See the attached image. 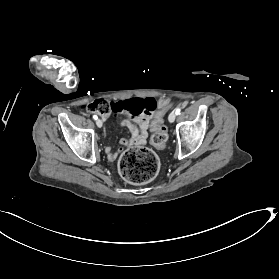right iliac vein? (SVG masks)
Segmentation results:
<instances>
[{
	"instance_id": "63e3f726",
	"label": "right iliac vein",
	"mask_w": 279,
	"mask_h": 279,
	"mask_svg": "<svg viewBox=\"0 0 279 279\" xmlns=\"http://www.w3.org/2000/svg\"><path fill=\"white\" fill-rule=\"evenodd\" d=\"M96 125H97L99 128H101L102 125H103V123H102V121H101L100 119H97V120H96Z\"/></svg>"
}]
</instances>
